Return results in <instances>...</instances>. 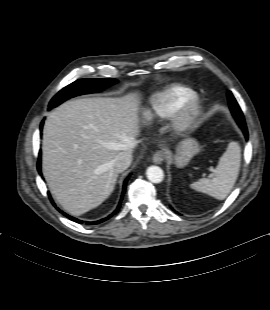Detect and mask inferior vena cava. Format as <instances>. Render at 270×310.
I'll return each instance as SVG.
<instances>
[{
  "label": "inferior vena cava",
  "mask_w": 270,
  "mask_h": 310,
  "mask_svg": "<svg viewBox=\"0 0 270 310\" xmlns=\"http://www.w3.org/2000/svg\"><path fill=\"white\" fill-rule=\"evenodd\" d=\"M137 140H132L125 151L119 152L114 159V167L117 172L126 170L132 162V151L137 145Z\"/></svg>",
  "instance_id": "602c4592"
}]
</instances>
